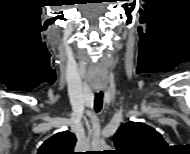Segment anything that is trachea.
Segmentation results:
<instances>
[{
    "mask_svg": "<svg viewBox=\"0 0 190 154\" xmlns=\"http://www.w3.org/2000/svg\"><path fill=\"white\" fill-rule=\"evenodd\" d=\"M103 105V92L100 91L95 94V100H94V109L96 112H100Z\"/></svg>",
    "mask_w": 190,
    "mask_h": 154,
    "instance_id": "trachea-1",
    "label": "trachea"
}]
</instances>
